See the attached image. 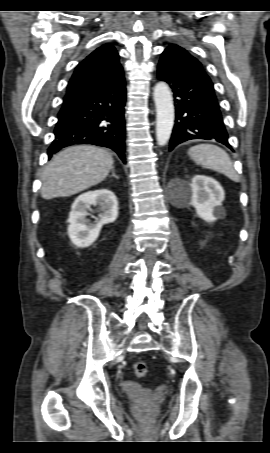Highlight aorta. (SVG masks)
Returning a JSON list of instances; mask_svg holds the SVG:
<instances>
[{"instance_id":"1","label":"aorta","mask_w":270,"mask_h":453,"mask_svg":"<svg viewBox=\"0 0 270 453\" xmlns=\"http://www.w3.org/2000/svg\"><path fill=\"white\" fill-rule=\"evenodd\" d=\"M153 98L156 106V140L164 146L170 139L174 125L172 93L167 83L160 81L154 87Z\"/></svg>"}]
</instances>
